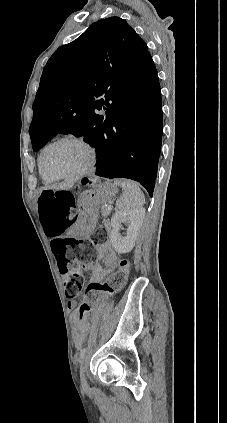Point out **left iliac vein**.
<instances>
[{
  "instance_id": "obj_1",
  "label": "left iliac vein",
  "mask_w": 227,
  "mask_h": 423,
  "mask_svg": "<svg viewBox=\"0 0 227 423\" xmlns=\"http://www.w3.org/2000/svg\"><path fill=\"white\" fill-rule=\"evenodd\" d=\"M85 362V359L83 360V363ZM80 381H81V386L84 390L88 389V383H87V379H86V375H85V367L82 364L81 369H80Z\"/></svg>"
}]
</instances>
